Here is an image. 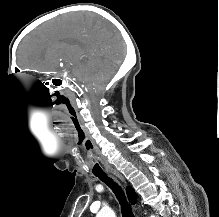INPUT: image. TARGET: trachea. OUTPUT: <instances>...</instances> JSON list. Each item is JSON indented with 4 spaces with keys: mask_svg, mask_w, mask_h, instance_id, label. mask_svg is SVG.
Segmentation results:
<instances>
[{
    "mask_svg": "<svg viewBox=\"0 0 219 217\" xmlns=\"http://www.w3.org/2000/svg\"><path fill=\"white\" fill-rule=\"evenodd\" d=\"M94 175L97 176L102 182H104L115 194L117 197L120 205H121V213L123 217H135L131 206L126 200V197L124 195V192L122 188L104 171L94 172Z\"/></svg>",
    "mask_w": 219,
    "mask_h": 217,
    "instance_id": "obj_1",
    "label": "trachea"
}]
</instances>
